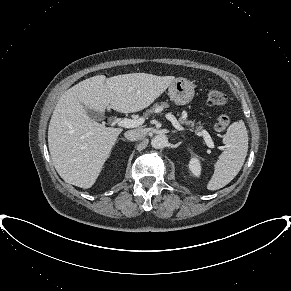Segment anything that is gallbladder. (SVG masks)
<instances>
[{
    "instance_id": "obj_1",
    "label": "gallbladder",
    "mask_w": 291,
    "mask_h": 291,
    "mask_svg": "<svg viewBox=\"0 0 291 291\" xmlns=\"http://www.w3.org/2000/svg\"><path fill=\"white\" fill-rule=\"evenodd\" d=\"M87 113H88L89 117H90L91 119H93V120H98V119L101 118V115L98 114V113H96V112L93 111V110H89V109H87Z\"/></svg>"
}]
</instances>
